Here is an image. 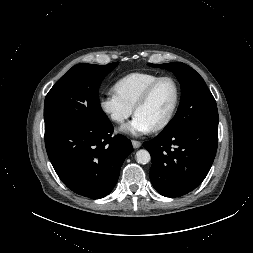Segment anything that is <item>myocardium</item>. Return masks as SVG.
<instances>
[{
  "instance_id": "1",
  "label": "myocardium",
  "mask_w": 253,
  "mask_h": 253,
  "mask_svg": "<svg viewBox=\"0 0 253 253\" xmlns=\"http://www.w3.org/2000/svg\"><path fill=\"white\" fill-rule=\"evenodd\" d=\"M164 80H169L173 83L175 87V99L173 106L167 117L161 123H159L157 126L153 128V131L155 132L165 129L173 121L177 113L181 100V88L176 78L170 75L158 77L156 80H154L151 84L148 85V87L144 90V92L142 93V95L140 96V98L138 99L133 108L134 114L136 115L137 111L148 102L157 85Z\"/></svg>"
}]
</instances>
